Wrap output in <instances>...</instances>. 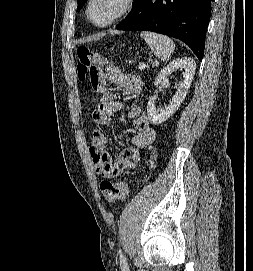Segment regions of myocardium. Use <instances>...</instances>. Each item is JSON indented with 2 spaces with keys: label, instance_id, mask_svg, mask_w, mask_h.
<instances>
[{
  "label": "myocardium",
  "instance_id": "obj_1",
  "mask_svg": "<svg viewBox=\"0 0 253 271\" xmlns=\"http://www.w3.org/2000/svg\"><path fill=\"white\" fill-rule=\"evenodd\" d=\"M93 2H94V0L88 1V5H87V9H86L87 18L94 26H96L98 28H105V27H108V26L116 23L121 18L126 16L133 9L136 0H124V5H123L122 9L114 17H112L110 20H108L105 23H97L93 20V18L91 16V7H92Z\"/></svg>",
  "mask_w": 253,
  "mask_h": 271
}]
</instances>
